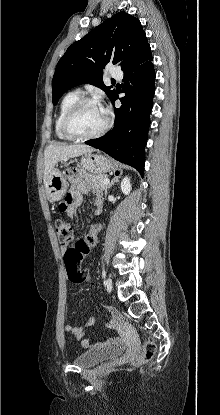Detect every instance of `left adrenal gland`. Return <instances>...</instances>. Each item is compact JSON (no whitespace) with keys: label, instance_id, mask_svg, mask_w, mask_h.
I'll return each mask as SVG.
<instances>
[{"label":"left adrenal gland","instance_id":"1","mask_svg":"<svg viewBox=\"0 0 220 415\" xmlns=\"http://www.w3.org/2000/svg\"><path fill=\"white\" fill-rule=\"evenodd\" d=\"M119 178H120V176H115V177L111 180V182H110V184H109V186H108V189H109V188H111V187L114 185V183H115V182H118V181H119ZM106 194H107V190H106Z\"/></svg>","mask_w":220,"mask_h":415}]
</instances>
